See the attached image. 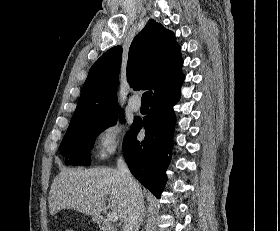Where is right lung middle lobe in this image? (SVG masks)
Returning a JSON list of instances; mask_svg holds the SVG:
<instances>
[{"label": "right lung middle lobe", "instance_id": "1", "mask_svg": "<svg viewBox=\"0 0 280 231\" xmlns=\"http://www.w3.org/2000/svg\"><path fill=\"white\" fill-rule=\"evenodd\" d=\"M118 113L111 116L70 123L61 143V154L66 157L68 165H89V152L95 138L106 128L116 124ZM119 119L124 122L123 113L119 112Z\"/></svg>", "mask_w": 280, "mask_h": 231}]
</instances>
